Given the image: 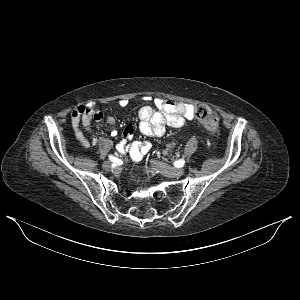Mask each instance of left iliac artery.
I'll return each mask as SVG.
<instances>
[{
    "label": "left iliac artery",
    "mask_w": 300,
    "mask_h": 300,
    "mask_svg": "<svg viewBox=\"0 0 300 300\" xmlns=\"http://www.w3.org/2000/svg\"><path fill=\"white\" fill-rule=\"evenodd\" d=\"M184 164H185L184 159H179V160L174 162V166L177 167V168L183 167Z\"/></svg>",
    "instance_id": "44dca946"
}]
</instances>
